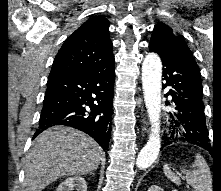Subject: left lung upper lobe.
Instances as JSON below:
<instances>
[{"mask_svg":"<svg viewBox=\"0 0 221 191\" xmlns=\"http://www.w3.org/2000/svg\"><path fill=\"white\" fill-rule=\"evenodd\" d=\"M180 41H184L181 36L175 34L168 25L160 22L154 27L149 45H156L162 49H171ZM209 141V137H207V140L201 145L207 144L210 146Z\"/></svg>","mask_w":221,"mask_h":191,"instance_id":"5c2ea615","label":"left lung upper lobe"}]
</instances>
